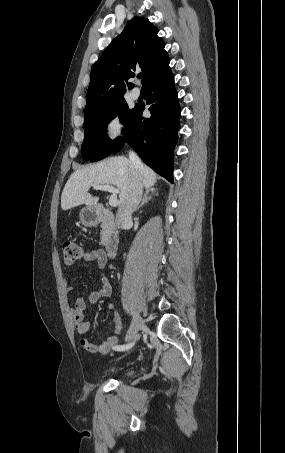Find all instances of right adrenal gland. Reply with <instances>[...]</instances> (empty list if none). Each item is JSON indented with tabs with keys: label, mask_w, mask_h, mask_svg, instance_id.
<instances>
[{
	"label": "right adrenal gland",
	"mask_w": 285,
	"mask_h": 453,
	"mask_svg": "<svg viewBox=\"0 0 285 453\" xmlns=\"http://www.w3.org/2000/svg\"><path fill=\"white\" fill-rule=\"evenodd\" d=\"M156 189L155 188H150V189H146L145 191V194L143 196V199L141 201V203L135 208L134 211H137L138 209H140L145 203H147L148 201H150L152 199V196H149V194L151 195H154L156 193Z\"/></svg>",
	"instance_id": "obj_1"
}]
</instances>
